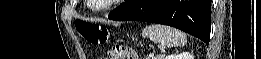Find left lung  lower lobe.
Here are the masks:
<instances>
[{"instance_id":"left-lung-lower-lobe-1","label":"left lung lower lobe","mask_w":261,"mask_h":59,"mask_svg":"<svg viewBox=\"0 0 261 59\" xmlns=\"http://www.w3.org/2000/svg\"><path fill=\"white\" fill-rule=\"evenodd\" d=\"M108 18L173 26L198 37L208 45L211 0H126Z\"/></svg>"}]
</instances>
